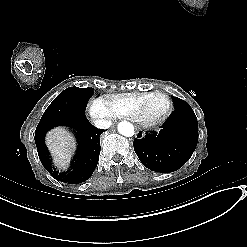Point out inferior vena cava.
<instances>
[{
    "label": "inferior vena cava",
    "mask_w": 247,
    "mask_h": 247,
    "mask_svg": "<svg viewBox=\"0 0 247 247\" xmlns=\"http://www.w3.org/2000/svg\"><path fill=\"white\" fill-rule=\"evenodd\" d=\"M112 125L111 120L97 119L94 121V126L98 129H108Z\"/></svg>",
    "instance_id": "602c4592"
}]
</instances>
